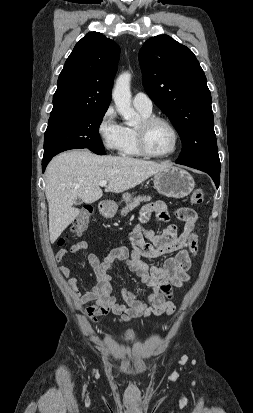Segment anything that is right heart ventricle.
<instances>
[{"mask_svg":"<svg viewBox=\"0 0 253 413\" xmlns=\"http://www.w3.org/2000/svg\"><path fill=\"white\" fill-rule=\"evenodd\" d=\"M138 112L140 113L141 117H147L151 115V112H145L142 110L137 109ZM125 129V141L124 145L121 149V153L124 156H129V157H139L141 156V152L138 149L137 145V138H136V131L135 127L133 126H124Z\"/></svg>","mask_w":253,"mask_h":413,"instance_id":"e07e8e85","label":"right heart ventricle"}]
</instances>
